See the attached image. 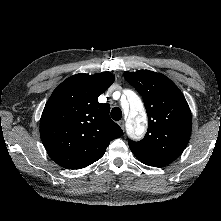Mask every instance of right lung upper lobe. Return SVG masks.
<instances>
[{
	"mask_svg": "<svg viewBox=\"0 0 221 221\" xmlns=\"http://www.w3.org/2000/svg\"><path fill=\"white\" fill-rule=\"evenodd\" d=\"M113 82L110 72L80 73L53 91L42 113L40 136L54 162L67 169L87 167L104 155L111 140L122 136L109 116V104L98 102Z\"/></svg>",
	"mask_w": 221,
	"mask_h": 221,
	"instance_id": "obj_1",
	"label": "right lung upper lobe"
}]
</instances>
